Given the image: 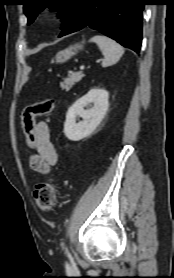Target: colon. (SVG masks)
<instances>
[{
    "mask_svg": "<svg viewBox=\"0 0 174 278\" xmlns=\"http://www.w3.org/2000/svg\"><path fill=\"white\" fill-rule=\"evenodd\" d=\"M54 108V101L45 99L26 106L21 115V123L25 136V144L28 149L35 150L38 144L36 133V118L49 115ZM34 198L41 210L51 211L56 203V192L52 184H38L34 190Z\"/></svg>",
    "mask_w": 174,
    "mask_h": 278,
    "instance_id": "5ec220e1",
    "label": "colon"
}]
</instances>
